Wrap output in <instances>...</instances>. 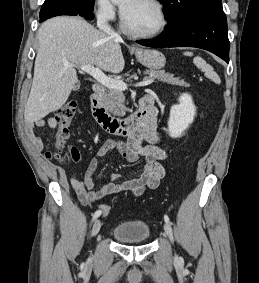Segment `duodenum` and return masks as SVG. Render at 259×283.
I'll list each match as a JSON object with an SVG mask.
<instances>
[{"label": "duodenum", "mask_w": 259, "mask_h": 283, "mask_svg": "<svg viewBox=\"0 0 259 283\" xmlns=\"http://www.w3.org/2000/svg\"><path fill=\"white\" fill-rule=\"evenodd\" d=\"M104 93L105 88L100 84H95L90 101L94 118L108 133L121 136L134 135L149 126L156 117V108L150 96L141 99L139 108L133 115L125 119L112 117L102 104Z\"/></svg>", "instance_id": "obj_1"}]
</instances>
